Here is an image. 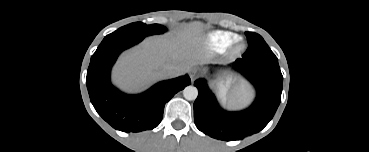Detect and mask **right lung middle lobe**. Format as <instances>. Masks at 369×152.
I'll return each instance as SVG.
<instances>
[{
  "instance_id": "1",
  "label": "right lung middle lobe",
  "mask_w": 369,
  "mask_h": 152,
  "mask_svg": "<svg viewBox=\"0 0 369 152\" xmlns=\"http://www.w3.org/2000/svg\"><path fill=\"white\" fill-rule=\"evenodd\" d=\"M166 30L167 29L163 25L159 24L147 25L142 22H135L119 28L110 35L128 34L135 37L144 38L149 35L162 34L166 32Z\"/></svg>"
}]
</instances>
